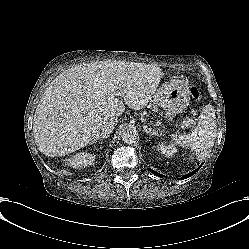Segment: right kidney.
I'll use <instances>...</instances> for the list:
<instances>
[{"label":"right kidney","mask_w":249,"mask_h":249,"mask_svg":"<svg viewBox=\"0 0 249 249\" xmlns=\"http://www.w3.org/2000/svg\"><path fill=\"white\" fill-rule=\"evenodd\" d=\"M84 164L87 166V165H91L92 162H91V160H88V161L84 162Z\"/></svg>","instance_id":"1"}]
</instances>
